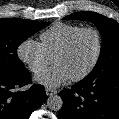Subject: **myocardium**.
<instances>
[{"mask_svg":"<svg viewBox=\"0 0 119 119\" xmlns=\"http://www.w3.org/2000/svg\"><path fill=\"white\" fill-rule=\"evenodd\" d=\"M87 32L94 34L96 37V40H97L96 54H95L94 59L92 60L91 64L87 67V69L85 71H83L81 74L71 78V80L74 82H79V81L85 79L86 77H88L94 71L96 66L98 65L101 55H102V51H103V40H102V36H101L100 32L97 29L92 28V27L81 28L80 30L75 32L68 39V41L64 44V46L53 57V62H54L58 57L68 53L71 50V48L73 47L76 40L82 34L87 33Z\"/></svg>","mask_w":119,"mask_h":119,"instance_id":"myocardium-1","label":"myocardium"}]
</instances>
